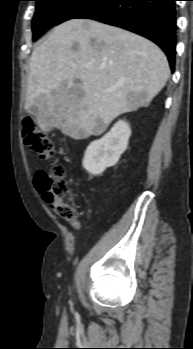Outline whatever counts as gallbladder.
<instances>
[{
  "label": "gallbladder",
  "mask_w": 193,
  "mask_h": 349,
  "mask_svg": "<svg viewBox=\"0 0 193 349\" xmlns=\"http://www.w3.org/2000/svg\"><path fill=\"white\" fill-rule=\"evenodd\" d=\"M29 112L33 115L37 114L38 113V108L37 106L33 105L30 109H29Z\"/></svg>",
  "instance_id": "1"
}]
</instances>
